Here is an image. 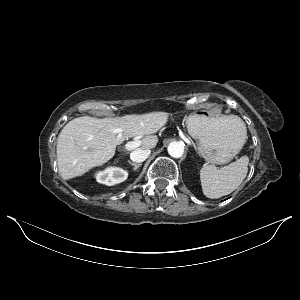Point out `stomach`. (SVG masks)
I'll use <instances>...</instances> for the list:
<instances>
[{"label":"stomach","mask_w":300,"mask_h":300,"mask_svg":"<svg viewBox=\"0 0 300 300\" xmlns=\"http://www.w3.org/2000/svg\"><path fill=\"white\" fill-rule=\"evenodd\" d=\"M186 124L190 135L197 141L199 154L212 164L231 161L246 141L243 133L226 116L197 112L187 118Z\"/></svg>","instance_id":"stomach-1"}]
</instances>
